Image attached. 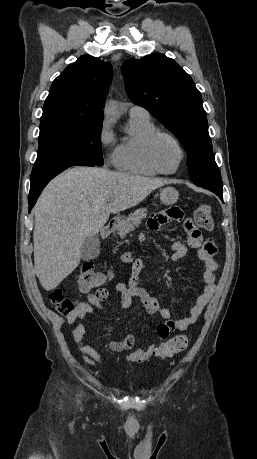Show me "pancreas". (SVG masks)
Here are the masks:
<instances>
[{"label": "pancreas", "mask_w": 257, "mask_h": 459, "mask_svg": "<svg viewBox=\"0 0 257 459\" xmlns=\"http://www.w3.org/2000/svg\"><path fill=\"white\" fill-rule=\"evenodd\" d=\"M147 215L146 208H140L131 213L119 227V235L125 237L135 229Z\"/></svg>", "instance_id": "obj_1"}]
</instances>
